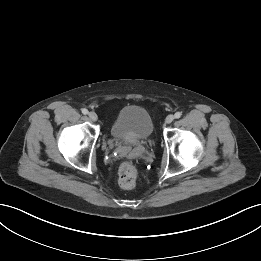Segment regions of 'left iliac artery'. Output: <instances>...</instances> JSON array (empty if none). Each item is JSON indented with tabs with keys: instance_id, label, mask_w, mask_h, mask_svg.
I'll return each instance as SVG.
<instances>
[{
	"instance_id": "left-iliac-artery-1",
	"label": "left iliac artery",
	"mask_w": 261,
	"mask_h": 261,
	"mask_svg": "<svg viewBox=\"0 0 261 261\" xmlns=\"http://www.w3.org/2000/svg\"><path fill=\"white\" fill-rule=\"evenodd\" d=\"M181 112H176L175 113V115H174V117L176 118V119H178V118H180L181 117Z\"/></svg>"
}]
</instances>
